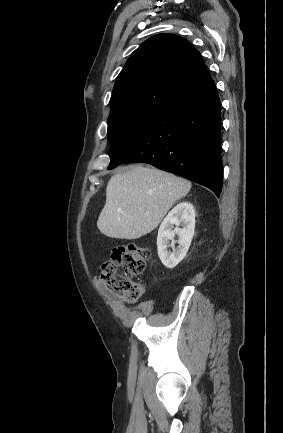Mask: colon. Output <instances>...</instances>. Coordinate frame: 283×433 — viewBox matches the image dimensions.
Listing matches in <instances>:
<instances>
[{"label":"colon","mask_w":283,"mask_h":433,"mask_svg":"<svg viewBox=\"0 0 283 433\" xmlns=\"http://www.w3.org/2000/svg\"><path fill=\"white\" fill-rule=\"evenodd\" d=\"M149 256L146 248L134 244L116 247L102 264L100 278L115 294L138 299L143 295L144 287L133 278L144 271Z\"/></svg>","instance_id":"1"}]
</instances>
